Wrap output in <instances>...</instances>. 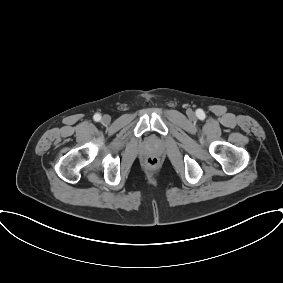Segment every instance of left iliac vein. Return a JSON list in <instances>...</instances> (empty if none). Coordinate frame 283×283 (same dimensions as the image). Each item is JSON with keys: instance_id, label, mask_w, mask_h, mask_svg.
I'll use <instances>...</instances> for the list:
<instances>
[{"instance_id": "1", "label": "left iliac vein", "mask_w": 283, "mask_h": 283, "mask_svg": "<svg viewBox=\"0 0 283 283\" xmlns=\"http://www.w3.org/2000/svg\"><path fill=\"white\" fill-rule=\"evenodd\" d=\"M189 116H190V117H193V116H194V113H193V112H190V113H189Z\"/></svg>"}]
</instances>
